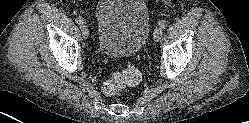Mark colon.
Wrapping results in <instances>:
<instances>
[{"mask_svg": "<svg viewBox=\"0 0 249 123\" xmlns=\"http://www.w3.org/2000/svg\"><path fill=\"white\" fill-rule=\"evenodd\" d=\"M141 79L140 72L131 63H128L122 72L114 73L104 81L102 90L108 96L119 94L127 86L136 85Z\"/></svg>", "mask_w": 249, "mask_h": 123, "instance_id": "1", "label": "colon"}]
</instances>
